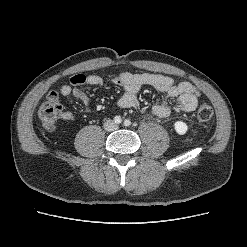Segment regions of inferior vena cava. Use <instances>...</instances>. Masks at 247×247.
<instances>
[{
    "instance_id": "602c4592",
    "label": "inferior vena cava",
    "mask_w": 247,
    "mask_h": 247,
    "mask_svg": "<svg viewBox=\"0 0 247 247\" xmlns=\"http://www.w3.org/2000/svg\"><path fill=\"white\" fill-rule=\"evenodd\" d=\"M104 128L107 131H113L116 128V125L111 120H107L104 124Z\"/></svg>"
}]
</instances>
